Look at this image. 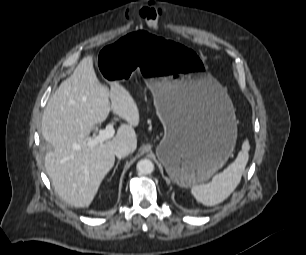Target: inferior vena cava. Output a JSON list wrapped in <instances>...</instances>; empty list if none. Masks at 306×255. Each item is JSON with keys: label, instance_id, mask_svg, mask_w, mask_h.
<instances>
[{"label": "inferior vena cava", "instance_id": "1", "mask_svg": "<svg viewBox=\"0 0 306 255\" xmlns=\"http://www.w3.org/2000/svg\"><path fill=\"white\" fill-rule=\"evenodd\" d=\"M133 152L132 147L129 144L123 143L116 146L114 150V154L117 158L121 159L128 156L130 153Z\"/></svg>", "mask_w": 306, "mask_h": 255}]
</instances>
